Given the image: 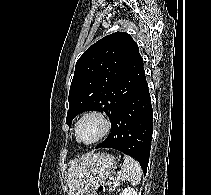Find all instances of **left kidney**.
Masks as SVG:
<instances>
[{"mask_svg": "<svg viewBox=\"0 0 211 195\" xmlns=\"http://www.w3.org/2000/svg\"><path fill=\"white\" fill-rule=\"evenodd\" d=\"M119 195H138L133 188H125Z\"/></svg>", "mask_w": 211, "mask_h": 195, "instance_id": "1", "label": "left kidney"}]
</instances>
